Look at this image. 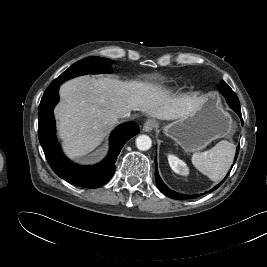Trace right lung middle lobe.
Masks as SVG:
<instances>
[{"mask_svg":"<svg viewBox=\"0 0 267 267\" xmlns=\"http://www.w3.org/2000/svg\"><path fill=\"white\" fill-rule=\"evenodd\" d=\"M111 63H112L111 60L102 57L94 56V57L84 58L74 63L70 68H68L58 78H56L47 88L46 92L50 91L57 84H62L66 80L79 75H84L88 73L92 74L109 73L111 72V67H110Z\"/></svg>","mask_w":267,"mask_h":267,"instance_id":"1","label":"right lung middle lobe"}]
</instances>
